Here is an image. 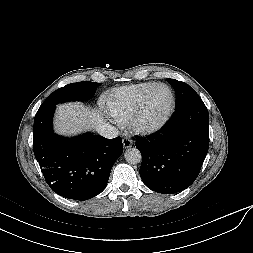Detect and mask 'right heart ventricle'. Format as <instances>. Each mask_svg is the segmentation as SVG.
<instances>
[{"label":"right heart ventricle","mask_w":253,"mask_h":253,"mask_svg":"<svg viewBox=\"0 0 253 253\" xmlns=\"http://www.w3.org/2000/svg\"><path fill=\"white\" fill-rule=\"evenodd\" d=\"M153 82L131 84L113 89L105 99L109 114L119 123L128 124L144 92Z\"/></svg>","instance_id":"e07e8e85"}]
</instances>
